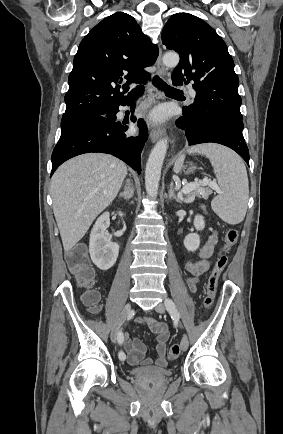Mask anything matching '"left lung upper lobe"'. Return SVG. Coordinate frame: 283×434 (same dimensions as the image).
Returning a JSON list of instances; mask_svg holds the SVG:
<instances>
[{"instance_id":"1","label":"left lung upper lobe","mask_w":283,"mask_h":434,"mask_svg":"<svg viewBox=\"0 0 283 434\" xmlns=\"http://www.w3.org/2000/svg\"><path fill=\"white\" fill-rule=\"evenodd\" d=\"M163 44L180 55L173 70L174 85L192 83L194 103L183 115L197 120L207 112H221L242 120L239 79L223 39L202 19L189 13H176L162 32Z\"/></svg>"}]
</instances>
